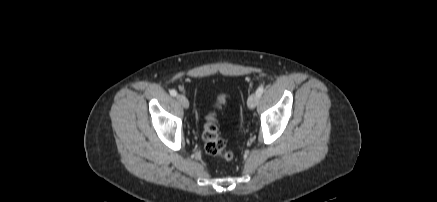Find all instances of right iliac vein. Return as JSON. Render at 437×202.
I'll use <instances>...</instances> for the list:
<instances>
[{
    "mask_svg": "<svg viewBox=\"0 0 437 202\" xmlns=\"http://www.w3.org/2000/svg\"><path fill=\"white\" fill-rule=\"evenodd\" d=\"M177 100L185 109L189 108V101L185 95H177Z\"/></svg>",
    "mask_w": 437,
    "mask_h": 202,
    "instance_id": "right-iliac-vein-1",
    "label": "right iliac vein"
}]
</instances>
